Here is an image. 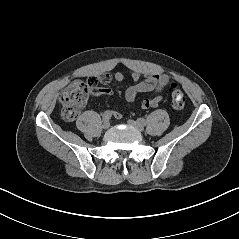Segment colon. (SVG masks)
I'll return each mask as SVG.
<instances>
[{"mask_svg": "<svg viewBox=\"0 0 239 239\" xmlns=\"http://www.w3.org/2000/svg\"><path fill=\"white\" fill-rule=\"evenodd\" d=\"M98 84L95 77H90L86 82L81 80L72 81L61 93L59 102L61 104V115L67 121L74 120L84 107L92 87ZM172 105L180 110L185 105V97L177 84H171Z\"/></svg>", "mask_w": 239, "mask_h": 239, "instance_id": "5ec220e1", "label": "colon"}]
</instances>
